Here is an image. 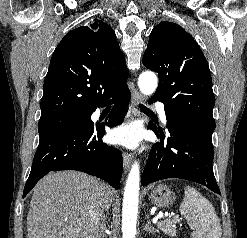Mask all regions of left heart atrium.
Listing matches in <instances>:
<instances>
[{
  "mask_svg": "<svg viewBox=\"0 0 247 238\" xmlns=\"http://www.w3.org/2000/svg\"><path fill=\"white\" fill-rule=\"evenodd\" d=\"M140 131L133 124L122 125L113 129L110 133L112 143L126 147H134L140 140Z\"/></svg>",
  "mask_w": 247,
  "mask_h": 238,
  "instance_id": "obj_1",
  "label": "left heart atrium"
}]
</instances>
